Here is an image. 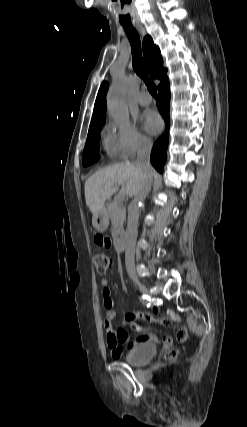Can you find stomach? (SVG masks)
I'll use <instances>...</instances> for the list:
<instances>
[{"instance_id":"1","label":"stomach","mask_w":247,"mask_h":427,"mask_svg":"<svg viewBox=\"0 0 247 427\" xmlns=\"http://www.w3.org/2000/svg\"><path fill=\"white\" fill-rule=\"evenodd\" d=\"M92 224L97 231L103 232L108 228L109 219L105 208L93 216Z\"/></svg>"}]
</instances>
